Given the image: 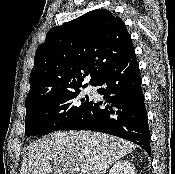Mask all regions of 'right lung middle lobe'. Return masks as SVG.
Segmentation results:
<instances>
[{
  "label": "right lung middle lobe",
  "instance_id": "obj_1",
  "mask_svg": "<svg viewBox=\"0 0 175 174\" xmlns=\"http://www.w3.org/2000/svg\"><path fill=\"white\" fill-rule=\"evenodd\" d=\"M79 88L26 105V135H45L61 130L75 120L90 103L88 96L81 97Z\"/></svg>",
  "mask_w": 175,
  "mask_h": 174
}]
</instances>
